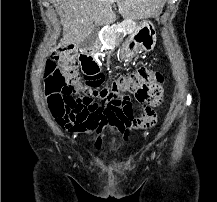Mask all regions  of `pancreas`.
Returning <instances> with one entry per match:
<instances>
[{"label":"pancreas","mask_w":217,"mask_h":202,"mask_svg":"<svg viewBox=\"0 0 217 202\" xmlns=\"http://www.w3.org/2000/svg\"><path fill=\"white\" fill-rule=\"evenodd\" d=\"M119 25H124L126 26L125 31L124 32H128L132 33L133 30H135L136 28V24H132V22H117V25L110 27V30H117L119 28ZM124 32H118V34H115V38H112V42H116V44H114V46H118L119 42H121V38H119V36H123Z\"/></svg>","instance_id":"cf45deb5"}]
</instances>
